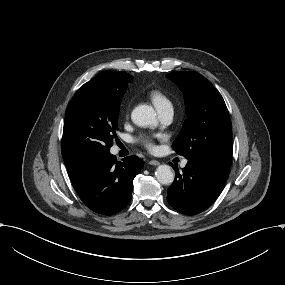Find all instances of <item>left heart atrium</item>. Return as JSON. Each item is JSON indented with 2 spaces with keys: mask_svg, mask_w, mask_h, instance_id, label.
<instances>
[{
  "mask_svg": "<svg viewBox=\"0 0 285 285\" xmlns=\"http://www.w3.org/2000/svg\"><path fill=\"white\" fill-rule=\"evenodd\" d=\"M139 141L145 145L148 149H153L154 148V145L152 143V140L149 136H141L139 138Z\"/></svg>",
  "mask_w": 285,
  "mask_h": 285,
  "instance_id": "1",
  "label": "left heart atrium"
}]
</instances>
